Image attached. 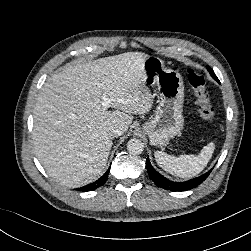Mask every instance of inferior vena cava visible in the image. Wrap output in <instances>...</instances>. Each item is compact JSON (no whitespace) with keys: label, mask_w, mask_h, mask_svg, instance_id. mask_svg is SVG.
<instances>
[{"label":"inferior vena cava","mask_w":251,"mask_h":251,"mask_svg":"<svg viewBox=\"0 0 251 251\" xmlns=\"http://www.w3.org/2000/svg\"><path fill=\"white\" fill-rule=\"evenodd\" d=\"M110 132L113 137H118L123 133V130L120 126L115 125L111 127Z\"/></svg>","instance_id":"1"}]
</instances>
